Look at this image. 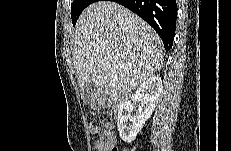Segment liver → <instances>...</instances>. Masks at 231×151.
Listing matches in <instances>:
<instances>
[{"label":"liver","mask_w":231,"mask_h":151,"mask_svg":"<svg viewBox=\"0 0 231 151\" xmlns=\"http://www.w3.org/2000/svg\"><path fill=\"white\" fill-rule=\"evenodd\" d=\"M163 51L160 37L145 21L116 2L98 1L77 21L72 59L82 89L91 82L99 92L119 96L154 75Z\"/></svg>","instance_id":"obj_1"}]
</instances>
